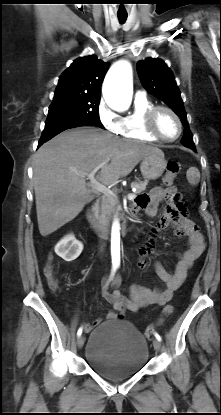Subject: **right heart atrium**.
<instances>
[{
	"label": "right heart atrium",
	"mask_w": 221,
	"mask_h": 415,
	"mask_svg": "<svg viewBox=\"0 0 221 415\" xmlns=\"http://www.w3.org/2000/svg\"><path fill=\"white\" fill-rule=\"evenodd\" d=\"M99 122L104 129L111 133L118 134L121 126V117L114 112L104 100L99 102L97 108Z\"/></svg>",
	"instance_id": "obj_1"
}]
</instances>
